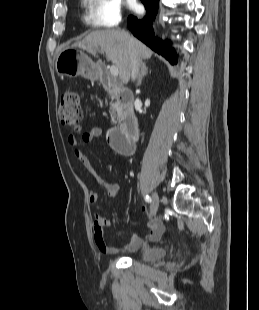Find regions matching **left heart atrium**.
I'll return each mask as SVG.
<instances>
[{
	"label": "left heart atrium",
	"mask_w": 259,
	"mask_h": 310,
	"mask_svg": "<svg viewBox=\"0 0 259 310\" xmlns=\"http://www.w3.org/2000/svg\"><path fill=\"white\" fill-rule=\"evenodd\" d=\"M127 3L130 8L135 9L137 7V4L134 0H127Z\"/></svg>",
	"instance_id": "left-heart-atrium-1"
}]
</instances>
